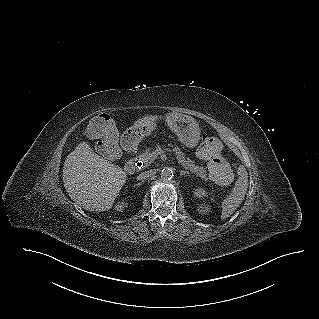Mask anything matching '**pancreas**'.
<instances>
[{
	"label": "pancreas",
	"instance_id": "cf45deb5",
	"mask_svg": "<svg viewBox=\"0 0 319 319\" xmlns=\"http://www.w3.org/2000/svg\"><path fill=\"white\" fill-rule=\"evenodd\" d=\"M173 153L176 155L177 160L181 163L182 167L187 170H190L192 173H195L204 181L208 180V174L206 173L205 168L195 165L194 161L185 157V154L178 148H173ZM137 160L141 161L144 164V168L149 166L154 160V151H151L150 148L146 149L144 153L137 157Z\"/></svg>",
	"mask_w": 319,
	"mask_h": 319
}]
</instances>
